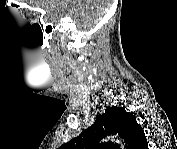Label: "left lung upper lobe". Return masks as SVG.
<instances>
[{
  "instance_id": "1",
  "label": "left lung upper lobe",
  "mask_w": 177,
  "mask_h": 149,
  "mask_svg": "<svg viewBox=\"0 0 177 149\" xmlns=\"http://www.w3.org/2000/svg\"><path fill=\"white\" fill-rule=\"evenodd\" d=\"M118 134L130 149H141L145 136L132 113L122 107H108L79 136L63 144L61 149H117L118 144L99 143L106 135Z\"/></svg>"
}]
</instances>
